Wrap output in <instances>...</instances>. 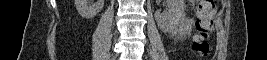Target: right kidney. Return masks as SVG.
Returning a JSON list of instances; mask_svg holds the SVG:
<instances>
[{
  "instance_id": "1",
  "label": "right kidney",
  "mask_w": 267,
  "mask_h": 60,
  "mask_svg": "<svg viewBox=\"0 0 267 60\" xmlns=\"http://www.w3.org/2000/svg\"><path fill=\"white\" fill-rule=\"evenodd\" d=\"M75 5L81 17L91 19L95 17L103 8L104 0H75Z\"/></svg>"
}]
</instances>
